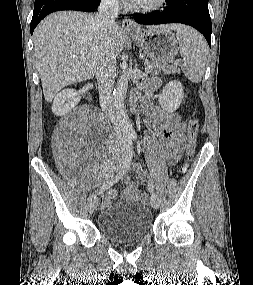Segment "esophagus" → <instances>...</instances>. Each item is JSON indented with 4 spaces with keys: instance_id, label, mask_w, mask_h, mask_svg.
I'll return each mask as SVG.
<instances>
[{
    "instance_id": "esophagus-1",
    "label": "esophagus",
    "mask_w": 253,
    "mask_h": 285,
    "mask_svg": "<svg viewBox=\"0 0 253 285\" xmlns=\"http://www.w3.org/2000/svg\"><path fill=\"white\" fill-rule=\"evenodd\" d=\"M123 28L127 31H134L138 29L136 23L130 18H124L122 21Z\"/></svg>"
}]
</instances>
